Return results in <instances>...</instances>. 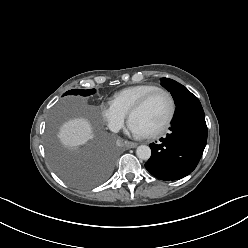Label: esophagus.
<instances>
[{
    "label": "esophagus",
    "mask_w": 248,
    "mask_h": 248,
    "mask_svg": "<svg viewBox=\"0 0 248 248\" xmlns=\"http://www.w3.org/2000/svg\"><path fill=\"white\" fill-rule=\"evenodd\" d=\"M124 145L126 146V148H135L137 147V143H134V142H129V141H124Z\"/></svg>",
    "instance_id": "34e87169"
}]
</instances>
